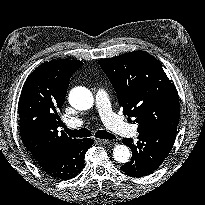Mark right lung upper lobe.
I'll return each instance as SVG.
<instances>
[{"mask_svg": "<svg viewBox=\"0 0 205 205\" xmlns=\"http://www.w3.org/2000/svg\"><path fill=\"white\" fill-rule=\"evenodd\" d=\"M83 65L78 60H53L38 66L27 78L18 104L21 140L37 164L59 154L78 139L57 128L69 79Z\"/></svg>", "mask_w": 205, "mask_h": 205, "instance_id": "right-lung-upper-lobe-1", "label": "right lung upper lobe"}]
</instances>
